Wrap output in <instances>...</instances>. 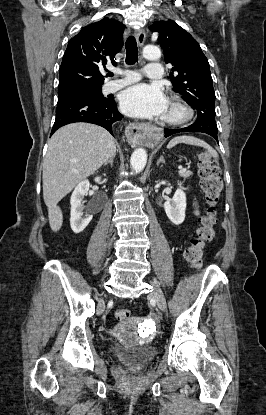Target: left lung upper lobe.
I'll return each instance as SVG.
<instances>
[{
	"instance_id": "5c2ea615",
	"label": "left lung upper lobe",
	"mask_w": 266,
	"mask_h": 415,
	"mask_svg": "<svg viewBox=\"0 0 266 415\" xmlns=\"http://www.w3.org/2000/svg\"><path fill=\"white\" fill-rule=\"evenodd\" d=\"M151 31L159 32L158 42L166 63L173 65V90L198 113L190 125L197 132L217 135L215 92L210 66L198 42L172 20L154 22Z\"/></svg>"
}]
</instances>
